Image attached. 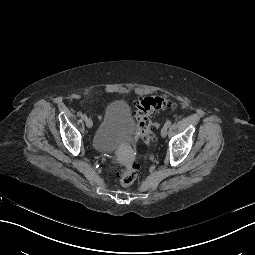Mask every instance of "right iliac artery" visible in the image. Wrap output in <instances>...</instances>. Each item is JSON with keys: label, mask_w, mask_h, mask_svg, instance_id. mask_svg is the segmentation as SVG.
Returning a JSON list of instances; mask_svg holds the SVG:
<instances>
[{"label": "right iliac artery", "mask_w": 255, "mask_h": 255, "mask_svg": "<svg viewBox=\"0 0 255 255\" xmlns=\"http://www.w3.org/2000/svg\"><path fill=\"white\" fill-rule=\"evenodd\" d=\"M81 117H82L83 120L87 119V116L85 114H83Z\"/></svg>", "instance_id": "obj_1"}]
</instances>
